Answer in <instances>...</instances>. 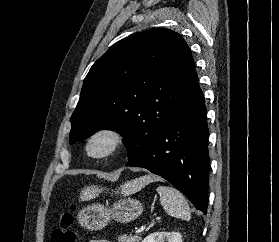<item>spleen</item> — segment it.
<instances>
[{"mask_svg":"<svg viewBox=\"0 0 279 242\" xmlns=\"http://www.w3.org/2000/svg\"><path fill=\"white\" fill-rule=\"evenodd\" d=\"M156 191L160 196V203L168 215L183 220H190L191 212L189 205L179 190L173 187L160 185L157 187Z\"/></svg>","mask_w":279,"mask_h":242,"instance_id":"3e777b00","label":"spleen"}]
</instances>
